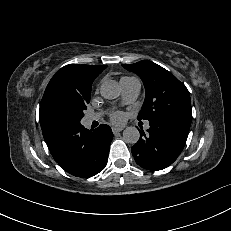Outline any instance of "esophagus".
I'll return each instance as SVG.
<instances>
[{
	"label": "esophagus",
	"mask_w": 231,
	"mask_h": 231,
	"mask_svg": "<svg viewBox=\"0 0 231 231\" xmlns=\"http://www.w3.org/2000/svg\"><path fill=\"white\" fill-rule=\"evenodd\" d=\"M124 129L123 126H115L112 128V131L114 134L118 133V132H121L122 130Z\"/></svg>",
	"instance_id": "34e87169"
}]
</instances>
